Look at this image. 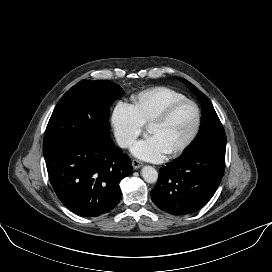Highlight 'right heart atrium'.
<instances>
[{
  "label": "right heart atrium",
  "mask_w": 272,
  "mask_h": 272,
  "mask_svg": "<svg viewBox=\"0 0 272 272\" xmlns=\"http://www.w3.org/2000/svg\"><path fill=\"white\" fill-rule=\"evenodd\" d=\"M114 136L122 148H129L142 133L143 124L135 111L123 102H119L111 114Z\"/></svg>",
  "instance_id": "right-heart-atrium-1"
}]
</instances>
